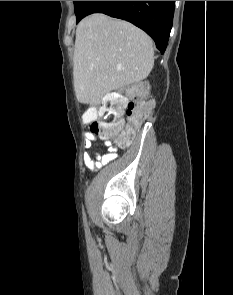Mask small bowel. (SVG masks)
Returning a JSON list of instances; mask_svg holds the SVG:
<instances>
[{"mask_svg": "<svg viewBox=\"0 0 233 295\" xmlns=\"http://www.w3.org/2000/svg\"><path fill=\"white\" fill-rule=\"evenodd\" d=\"M98 138L93 133H86L84 140V148L86 150L91 149L94 142H97ZM108 145V144H107ZM118 155V151L115 147H109L105 154L94 153L90 155L85 152L83 155V160L85 165L91 171L100 169L102 166L108 164L110 161L114 160Z\"/></svg>", "mask_w": 233, "mask_h": 295, "instance_id": "small-bowel-1", "label": "small bowel"}]
</instances>
